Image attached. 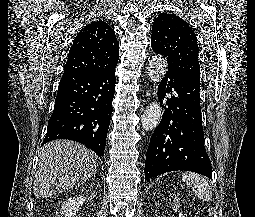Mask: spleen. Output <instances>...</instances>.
I'll return each instance as SVG.
<instances>
[{"label": "spleen", "mask_w": 255, "mask_h": 217, "mask_svg": "<svg viewBox=\"0 0 255 217\" xmlns=\"http://www.w3.org/2000/svg\"><path fill=\"white\" fill-rule=\"evenodd\" d=\"M182 179L188 184L195 194L205 201H210L212 198L211 186L204 179V177L190 172L182 174Z\"/></svg>", "instance_id": "obj_1"}]
</instances>
